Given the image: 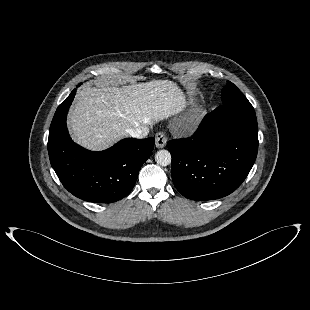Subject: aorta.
I'll return each instance as SVG.
<instances>
[{
	"mask_svg": "<svg viewBox=\"0 0 310 310\" xmlns=\"http://www.w3.org/2000/svg\"><path fill=\"white\" fill-rule=\"evenodd\" d=\"M155 161L160 166H168L171 163V154L168 150H159L155 154Z\"/></svg>",
	"mask_w": 310,
	"mask_h": 310,
	"instance_id": "1",
	"label": "aorta"
}]
</instances>
